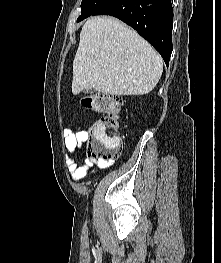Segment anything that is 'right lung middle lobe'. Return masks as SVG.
Wrapping results in <instances>:
<instances>
[{"mask_svg": "<svg viewBox=\"0 0 221 263\" xmlns=\"http://www.w3.org/2000/svg\"><path fill=\"white\" fill-rule=\"evenodd\" d=\"M107 0H82L81 3V15L77 19V22L91 16L94 12L106 2Z\"/></svg>", "mask_w": 221, "mask_h": 263, "instance_id": "right-lung-middle-lobe-1", "label": "right lung middle lobe"}]
</instances>
